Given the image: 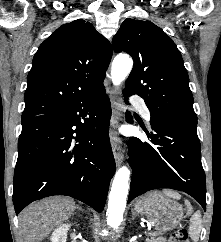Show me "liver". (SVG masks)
I'll return each instance as SVG.
<instances>
[{
    "instance_id": "6515ba94",
    "label": "liver",
    "mask_w": 221,
    "mask_h": 242,
    "mask_svg": "<svg viewBox=\"0 0 221 242\" xmlns=\"http://www.w3.org/2000/svg\"><path fill=\"white\" fill-rule=\"evenodd\" d=\"M76 208L75 202L67 197H52L29 205L19 216L23 241L41 242L67 221Z\"/></svg>"
}]
</instances>
